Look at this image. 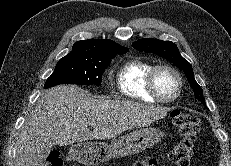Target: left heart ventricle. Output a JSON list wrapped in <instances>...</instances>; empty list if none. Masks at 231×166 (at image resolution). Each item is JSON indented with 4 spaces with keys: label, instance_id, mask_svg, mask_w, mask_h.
Instances as JSON below:
<instances>
[{
    "label": "left heart ventricle",
    "instance_id": "left-heart-ventricle-1",
    "mask_svg": "<svg viewBox=\"0 0 231 166\" xmlns=\"http://www.w3.org/2000/svg\"><path fill=\"white\" fill-rule=\"evenodd\" d=\"M155 83L160 94L167 98L172 97L178 88L175 76L167 70H160L157 73Z\"/></svg>",
    "mask_w": 231,
    "mask_h": 166
}]
</instances>
